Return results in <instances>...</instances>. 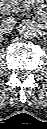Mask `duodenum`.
Returning <instances> with one entry per match:
<instances>
[{
	"instance_id": "duodenum-1",
	"label": "duodenum",
	"mask_w": 47,
	"mask_h": 129,
	"mask_svg": "<svg viewBox=\"0 0 47 129\" xmlns=\"http://www.w3.org/2000/svg\"><path fill=\"white\" fill-rule=\"evenodd\" d=\"M1 12L5 15H11L14 12V5L10 0H3L1 3ZM37 15L39 18L44 17V11L38 10Z\"/></svg>"
}]
</instances>
